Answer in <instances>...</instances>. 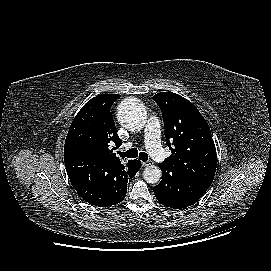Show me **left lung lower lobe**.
<instances>
[{
  "label": "left lung lower lobe",
  "instance_id": "left-lung-lower-lobe-1",
  "mask_svg": "<svg viewBox=\"0 0 271 271\" xmlns=\"http://www.w3.org/2000/svg\"><path fill=\"white\" fill-rule=\"evenodd\" d=\"M162 170V180L154 187L157 200L166 207L181 209L196 203L209 187L175 170Z\"/></svg>",
  "mask_w": 271,
  "mask_h": 271
}]
</instances>
